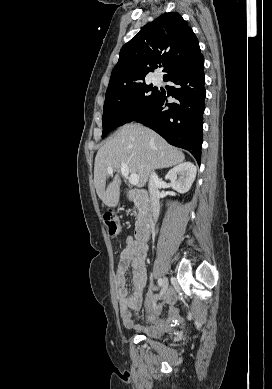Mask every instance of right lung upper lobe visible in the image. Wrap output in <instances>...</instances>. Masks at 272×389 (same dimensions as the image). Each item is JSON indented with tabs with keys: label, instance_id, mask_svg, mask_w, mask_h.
<instances>
[{
	"label": "right lung upper lobe",
	"instance_id": "1",
	"mask_svg": "<svg viewBox=\"0 0 272 389\" xmlns=\"http://www.w3.org/2000/svg\"><path fill=\"white\" fill-rule=\"evenodd\" d=\"M200 56L199 42L187 22L176 12L162 14L121 48L106 93L144 82L160 64L166 78Z\"/></svg>",
	"mask_w": 272,
	"mask_h": 389
}]
</instances>
